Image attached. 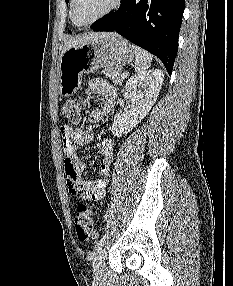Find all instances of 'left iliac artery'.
<instances>
[{"label": "left iliac artery", "mask_w": 233, "mask_h": 286, "mask_svg": "<svg viewBox=\"0 0 233 286\" xmlns=\"http://www.w3.org/2000/svg\"><path fill=\"white\" fill-rule=\"evenodd\" d=\"M104 242H105V236H103L102 238H100V239L96 242V244L94 245V250H95L96 252H98V251L102 248V246L104 245Z\"/></svg>", "instance_id": "44dca946"}]
</instances>
